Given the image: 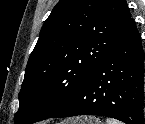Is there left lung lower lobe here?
<instances>
[{
    "instance_id": "obj_1",
    "label": "left lung lower lobe",
    "mask_w": 145,
    "mask_h": 124,
    "mask_svg": "<svg viewBox=\"0 0 145 124\" xmlns=\"http://www.w3.org/2000/svg\"><path fill=\"white\" fill-rule=\"evenodd\" d=\"M144 51L133 20L77 95L51 117L97 115L144 124Z\"/></svg>"
}]
</instances>
